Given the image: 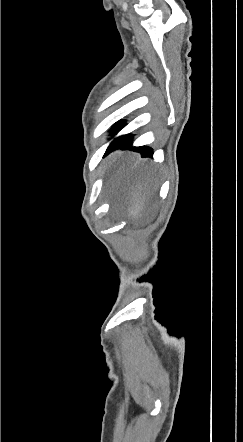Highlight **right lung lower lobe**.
I'll use <instances>...</instances> for the list:
<instances>
[{
    "label": "right lung lower lobe",
    "instance_id": "98d812e1",
    "mask_svg": "<svg viewBox=\"0 0 243 442\" xmlns=\"http://www.w3.org/2000/svg\"><path fill=\"white\" fill-rule=\"evenodd\" d=\"M124 125H125V120L118 121L114 125V127H116L117 129L112 130V132H118L119 131L118 128L121 126H124ZM132 136H133L132 134H127V135L121 136L119 138H116L110 144L107 152H110V151L118 149V148H129L132 145V143H131ZM136 150L141 153L142 157L152 156V150L150 147L141 146V147H138Z\"/></svg>",
    "mask_w": 243,
    "mask_h": 442
}]
</instances>
